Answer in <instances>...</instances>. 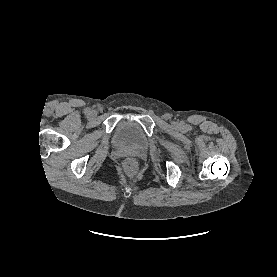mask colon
I'll use <instances>...</instances> for the list:
<instances>
[{"instance_id":"colon-1","label":"colon","mask_w":277,"mask_h":277,"mask_svg":"<svg viewBox=\"0 0 277 277\" xmlns=\"http://www.w3.org/2000/svg\"><path fill=\"white\" fill-rule=\"evenodd\" d=\"M123 167L129 175H134L137 171V163L132 158L126 159L123 163Z\"/></svg>"}]
</instances>
